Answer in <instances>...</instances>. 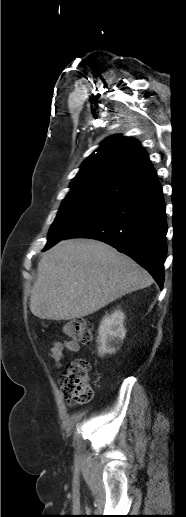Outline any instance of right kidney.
I'll use <instances>...</instances> for the list:
<instances>
[{"label":"right kidney","mask_w":186,"mask_h":517,"mask_svg":"<svg viewBox=\"0 0 186 517\" xmlns=\"http://www.w3.org/2000/svg\"><path fill=\"white\" fill-rule=\"evenodd\" d=\"M124 318V313L121 310H115L111 315L104 316L98 329L99 356L115 353L122 345L126 334L123 325Z\"/></svg>","instance_id":"ca27d5eb"}]
</instances>
